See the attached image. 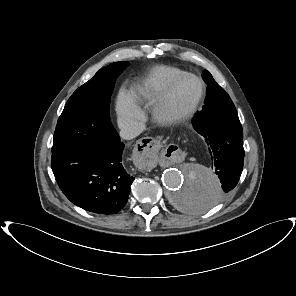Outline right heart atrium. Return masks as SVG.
<instances>
[{"instance_id": "1", "label": "right heart atrium", "mask_w": 296, "mask_h": 296, "mask_svg": "<svg viewBox=\"0 0 296 296\" xmlns=\"http://www.w3.org/2000/svg\"><path fill=\"white\" fill-rule=\"evenodd\" d=\"M117 110L119 123L123 127H127L132 122L137 121L141 118V112L124 95H121L118 99Z\"/></svg>"}]
</instances>
